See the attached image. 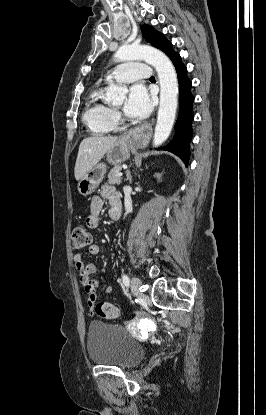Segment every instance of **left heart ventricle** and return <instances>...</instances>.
Listing matches in <instances>:
<instances>
[{"instance_id":"obj_1","label":"left heart ventricle","mask_w":266,"mask_h":415,"mask_svg":"<svg viewBox=\"0 0 266 415\" xmlns=\"http://www.w3.org/2000/svg\"><path fill=\"white\" fill-rule=\"evenodd\" d=\"M122 104H123V101H122V102H120V103L118 104V107H121V106H122Z\"/></svg>"}]
</instances>
